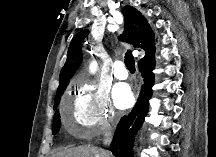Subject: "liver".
<instances>
[{
    "mask_svg": "<svg viewBox=\"0 0 216 157\" xmlns=\"http://www.w3.org/2000/svg\"><path fill=\"white\" fill-rule=\"evenodd\" d=\"M111 153L96 147H77L65 149L54 155V157H111Z\"/></svg>",
    "mask_w": 216,
    "mask_h": 157,
    "instance_id": "liver-1",
    "label": "liver"
}]
</instances>
